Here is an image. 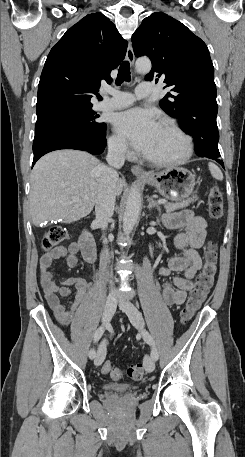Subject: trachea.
Returning <instances> with one entry per match:
<instances>
[{"mask_svg": "<svg viewBox=\"0 0 245 457\" xmlns=\"http://www.w3.org/2000/svg\"><path fill=\"white\" fill-rule=\"evenodd\" d=\"M130 81V65L128 61L123 62L118 70L116 85H121L123 82Z\"/></svg>", "mask_w": 245, "mask_h": 457, "instance_id": "obj_1", "label": "trachea"}]
</instances>
